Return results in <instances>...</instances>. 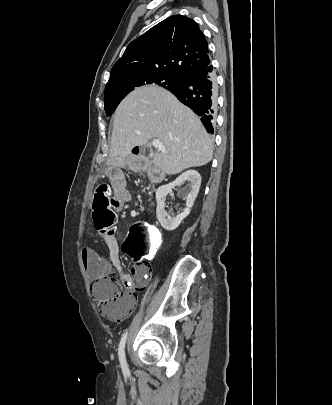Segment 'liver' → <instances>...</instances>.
Returning <instances> with one entry per match:
<instances>
[{
  "mask_svg": "<svg viewBox=\"0 0 332 405\" xmlns=\"http://www.w3.org/2000/svg\"><path fill=\"white\" fill-rule=\"evenodd\" d=\"M158 139L167 153L158 151L152 163L174 175L211 161L213 140L200 118L169 91L140 87L127 95L114 113L109 163L123 165L135 146ZM120 160V161H119Z\"/></svg>",
  "mask_w": 332,
  "mask_h": 405,
  "instance_id": "1",
  "label": "liver"
}]
</instances>
